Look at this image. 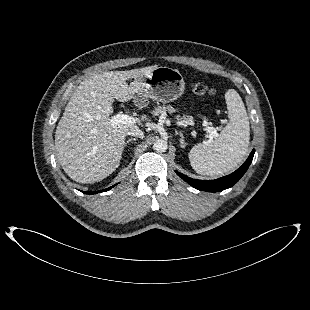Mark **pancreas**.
Here are the masks:
<instances>
[{
    "instance_id": "pancreas-1",
    "label": "pancreas",
    "mask_w": 310,
    "mask_h": 310,
    "mask_svg": "<svg viewBox=\"0 0 310 310\" xmlns=\"http://www.w3.org/2000/svg\"><path fill=\"white\" fill-rule=\"evenodd\" d=\"M166 111H168V112H172L173 111V108L171 107V106H167V107H164V106H160V107H157V108H155V110L153 111V115L154 116H158L159 114H162V113H164V112H166ZM192 117H188L187 118V122H191L192 121Z\"/></svg>"
}]
</instances>
